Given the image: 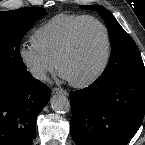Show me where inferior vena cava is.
I'll list each match as a JSON object with an SVG mask.
<instances>
[{
    "mask_svg": "<svg viewBox=\"0 0 145 145\" xmlns=\"http://www.w3.org/2000/svg\"><path fill=\"white\" fill-rule=\"evenodd\" d=\"M32 75L35 78H38V79H41V80H46L47 79L45 73L42 70H39V69H33L32 70Z\"/></svg>",
    "mask_w": 145,
    "mask_h": 145,
    "instance_id": "obj_1",
    "label": "inferior vena cava"
}]
</instances>
